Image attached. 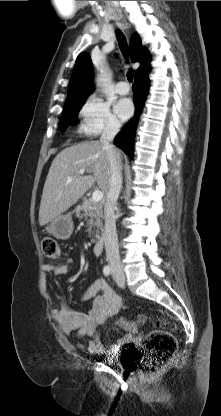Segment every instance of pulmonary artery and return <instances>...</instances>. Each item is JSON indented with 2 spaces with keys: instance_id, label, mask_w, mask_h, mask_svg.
Here are the masks:
<instances>
[{
  "instance_id": "e3ab8cb5",
  "label": "pulmonary artery",
  "mask_w": 221,
  "mask_h": 416,
  "mask_svg": "<svg viewBox=\"0 0 221 416\" xmlns=\"http://www.w3.org/2000/svg\"><path fill=\"white\" fill-rule=\"evenodd\" d=\"M115 90L120 95H126L129 93L130 87L127 82H125L124 80H120L117 82Z\"/></svg>"
}]
</instances>
